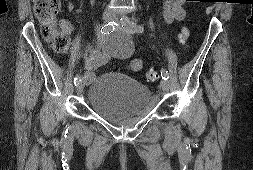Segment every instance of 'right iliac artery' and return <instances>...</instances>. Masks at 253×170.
<instances>
[{
	"mask_svg": "<svg viewBox=\"0 0 253 170\" xmlns=\"http://www.w3.org/2000/svg\"><path fill=\"white\" fill-rule=\"evenodd\" d=\"M115 25H117V24L114 23V22H109L108 24H106V25H104V26L101 27V29L99 31V34L101 36H103L105 34H109V33L113 32V30L115 29ZM80 81H81V77L79 75H77L74 78V84L76 85Z\"/></svg>",
	"mask_w": 253,
	"mask_h": 170,
	"instance_id": "82829eb1",
	"label": "right iliac artery"
}]
</instances>
